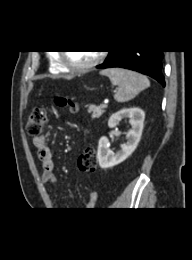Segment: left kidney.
<instances>
[{"instance_id": "obj_1", "label": "left kidney", "mask_w": 192, "mask_h": 260, "mask_svg": "<svg viewBox=\"0 0 192 260\" xmlns=\"http://www.w3.org/2000/svg\"><path fill=\"white\" fill-rule=\"evenodd\" d=\"M126 118L130 119L132 129L126 134L127 142L121 145V149L118 152H113L110 149L107 137L103 136L99 139L97 159L102 169L111 168L126 160L136 149L141 139L145 113L140 108L122 109L112 114L108 121V126L114 128L122 119Z\"/></svg>"}]
</instances>
